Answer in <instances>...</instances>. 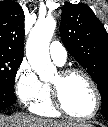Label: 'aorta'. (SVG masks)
Segmentation results:
<instances>
[{
    "instance_id": "aorta-1",
    "label": "aorta",
    "mask_w": 108,
    "mask_h": 127,
    "mask_svg": "<svg viewBox=\"0 0 108 127\" xmlns=\"http://www.w3.org/2000/svg\"><path fill=\"white\" fill-rule=\"evenodd\" d=\"M55 28L56 20L53 17L38 20L31 30L26 44L28 62L42 81L50 80L56 71L49 55V43Z\"/></svg>"
}]
</instances>
